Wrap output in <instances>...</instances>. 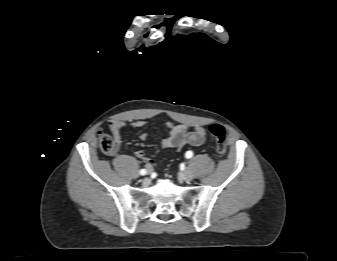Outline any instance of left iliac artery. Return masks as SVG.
<instances>
[{
    "label": "left iliac artery",
    "mask_w": 337,
    "mask_h": 261,
    "mask_svg": "<svg viewBox=\"0 0 337 261\" xmlns=\"http://www.w3.org/2000/svg\"><path fill=\"white\" fill-rule=\"evenodd\" d=\"M193 156V152L192 151H187L186 154H185V157L187 159L191 158Z\"/></svg>",
    "instance_id": "left-iliac-artery-1"
}]
</instances>
